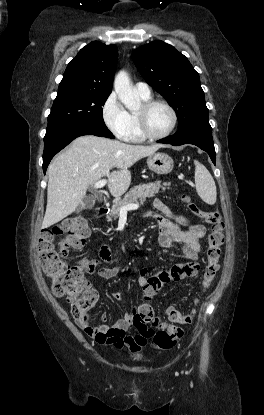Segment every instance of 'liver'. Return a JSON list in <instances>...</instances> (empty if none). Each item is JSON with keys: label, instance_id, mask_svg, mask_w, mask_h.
<instances>
[{"label": "liver", "instance_id": "liver-1", "mask_svg": "<svg viewBox=\"0 0 264 415\" xmlns=\"http://www.w3.org/2000/svg\"><path fill=\"white\" fill-rule=\"evenodd\" d=\"M163 145H131L93 135L76 138L48 167L47 207L42 228L73 213L87 188L106 177L112 196H122L131 183V167ZM112 168L117 170L110 172Z\"/></svg>", "mask_w": 264, "mask_h": 415}]
</instances>
